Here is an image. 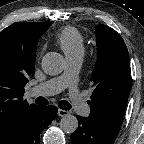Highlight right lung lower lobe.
Wrapping results in <instances>:
<instances>
[{
  "instance_id": "98d812e1",
  "label": "right lung lower lobe",
  "mask_w": 144,
  "mask_h": 144,
  "mask_svg": "<svg viewBox=\"0 0 144 144\" xmlns=\"http://www.w3.org/2000/svg\"><path fill=\"white\" fill-rule=\"evenodd\" d=\"M57 112L55 106H37L27 114L18 131L5 144H39L42 130L55 119Z\"/></svg>"
}]
</instances>
